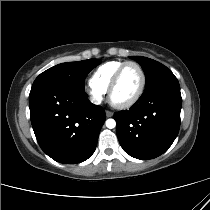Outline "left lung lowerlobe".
Here are the masks:
<instances>
[{
	"label": "left lung lower lobe",
	"instance_id": "left-lung-lower-lobe-1",
	"mask_svg": "<svg viewBox=\"0 0 210 210\" xmlns=\"http://www.w3.org/2000/svg\"><path fill=\"white\" fill-rule=\"evenodd\" d=\"M181 106L180 86L174 75L146 87L129 110L114 113L123 150L141 160L163 154L179 132Z\"/></svg>",
	"mask_w": 210,
	"mask_h": 210
}]
</instances>
